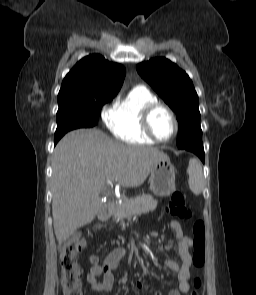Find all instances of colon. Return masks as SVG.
I'll list each match as a JSON object with an SVG mask.
<instances>
[{
	"mask_svg": "<svg viewBox=\"0 0 256 295\" xmlns=\"http://www.w3.org/2000/svg\"><path fill=\"white\" fill-rule=\"evenodd\" d=\"M167 214L182 220H192L193 215L185 204L184 196L176 191L172 194L170 201L165 207ZM193 253L192 262L195 267L201 268L205 263V226L202 220L196 219L192 224ZM85 247L83 238L76 234L69 238L60 249L59 265L61 270V285L64 295H81L82 269L77 257ZM201 279L194 280L195 290L192 295H198L201 287Z\"/></svg>",
	"mask_w": 256,
	"mask_h": 295,
	"instance_id": "5ec220e1",
	"label": "colon"
}]
</instances>
